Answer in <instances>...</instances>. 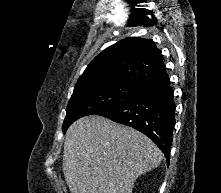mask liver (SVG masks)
Here are the masks:
<instances>
[{"label":"liver","mask_w":221,"mask_h":193,"mask_svg":"<svg viewBox=\"0 0 221 193\" xmlns=\"http://www.w3.org/2000/svg\"><path fill=\"white\" fill-rule=\"evenodd\" d=\"M161 160L147 136L102 116L75 121L65 135L63 172L71 193H132L136 179Z\"/></svg>","instance_id":"liver-1"}]
</instances>
